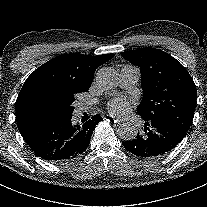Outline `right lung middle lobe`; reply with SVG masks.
<instances>
[{"instance_id": "dd1d6c3e", "label": "right lung middle lobe", "mask_w": 207, "mask_h": 207, "mask_svg": "<svg viewBox=\"0 0 207 207\" xmlns=\"http://www.w3.org/2000/svg\"><path fill=\"white\" fill-rule=\"evenodd\" d=\"M42 109L47 113L51 114L53 120L58 121L72 116L74 107L72 106H63L55 103H44Z\"/></svg>"}]
</instances>
